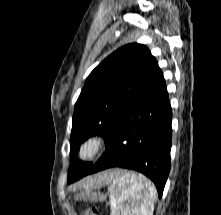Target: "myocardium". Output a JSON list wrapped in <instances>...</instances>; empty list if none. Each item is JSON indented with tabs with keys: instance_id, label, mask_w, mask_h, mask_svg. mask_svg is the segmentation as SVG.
Instances as JSON below:
<instances>
[{
	"instance_id": "1",
	"label": "myocardium",
	"mask_w": 221,
	"mask_h": 215,
	"mask_svg": "<svg viewBox=\"0 0 221 215\" xmlns=\"http://www.w3.org/2000/svg\"><path fill=\"white\" fill-rule=\"evenodd\" d=\"M104 146V138L99 136L91 137L81 145L79 157L82 161H91L102 152Z\"/></svg>"
}]
</instances>
